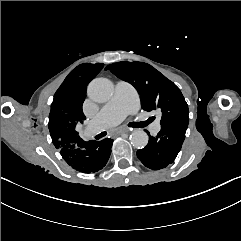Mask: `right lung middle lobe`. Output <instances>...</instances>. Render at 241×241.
Here are the masks:
<instances>
[{
  "label": "right lung middle lobe",
  "instance_id": "right-lung-middle-lobe-1",
  "mask_svg": "<svg viewBox=\"0 0 241 241\" xmlns=\"http://www.w3.org/2000/svg\"><path fill=\"white\" fill-rule=\"evenodd\" d=\"M103 68L102 63L90 64L84 63L74 68L62 83L63 92H71L78 89H87L88 83Z\"/></svg>",
  "mask_w": 241,
  "mask_h": 241
}]
</instances>
